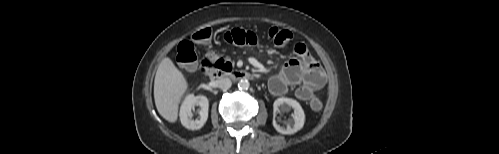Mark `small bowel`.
<instances>
[{"instance_id": "c3829d8e", "label": "small bowel", "mask_w": 499, "mask_h": 154, "mask_svg": "<svg viewBox=\"0 0 499 154\" xmlns=\"http://www.w3.org/2000/svg\"><path fill=\"white\" fill-rule=\"evenodd\" d=\"M224 38L227 43L235 46H255L259 41L254 32L239 28L226 32ZM294 53L295 57L289 59L282 70L269 79L268 87L273 95L282 96L291 87L298 86L295 90L296 97L301 101H308L324 87L326 77L304 43H296Z\"/></svg>"}]
</instances>
